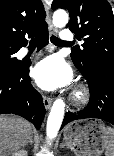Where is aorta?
<instances>
[{
    "mask_svg": "<svg viewBox=\"0 0 114 156\" xmlns=\"http://www.w3.org/2000/svg\"><path fill=\"white\" fill-rule=\"evenodd\" d=\"M69 16L65 10H56L53 14V24L57 28H63L67 25ZM65 112V103L61 98H58L53 103L51 112L48 116L46 133L49 139L56 137L62 124Z\"/></svg>",
    "mask_w": 114,
    "mask_h": 156,
    "instance_id": "762f6f07",
    "label": "aorta"
}]
</instances>
